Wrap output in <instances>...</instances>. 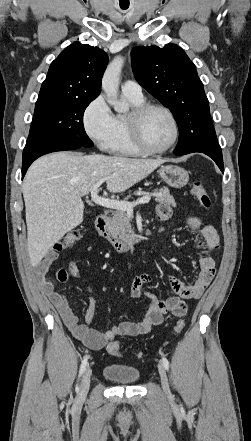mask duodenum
<instances>
[{"label": "duodenum", "mask_w": 251, "mask_h": 441, "mask_svg": "<svg viewBox=\"0 0 251 441\" xmlns=\"http://www.w3.org/2000/svg\"><path fill=\"white\" fill-rule=\"evenodd\" d=\"M95 227H96V230L98 231V233L102 237L106 238L111 243V245L114 247V249L118 252H126L131 247H133L137 244H140L144 241L143 235H137L133 239L128 240V241H123V240H120L117 237L113 236L109 230L108 218L104 214H101L96 218Z\"/></svg>", "instance_id": "1"}]
</instances>
